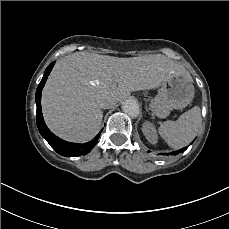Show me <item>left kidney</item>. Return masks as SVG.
<instances>
[{"label":"left kidney","instance_id":"5707ae66","mask_svg":"<svg viewBox=\"0 0 229 229\" xmlns=\"http://www.w3.org/2000/svg\"><path fill=\"white\" fill-rule=\"evenodd\" d=\"M142 132L145 135L146 139L151 143V144H156L158 141V135L156 132V129L154 125L149 122L145 121L142 126Z\"/></svg>","mask_w":229,"mask_h":229}]
</instances>
